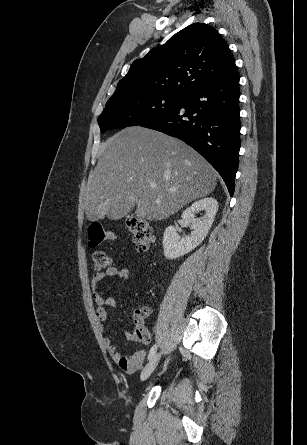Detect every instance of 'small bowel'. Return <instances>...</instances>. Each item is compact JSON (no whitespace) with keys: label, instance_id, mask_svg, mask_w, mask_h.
<instances>
[{"label":"small bowel","instance_id":"c3829d8e","mask_svg":"<svg viewBox=\"0 0 307 445\" xmlns=\"http://www.w3.org/2000/svg\"><path fill=\"white\" fill-rule=\"evenodd\" d=\"M131 275V269L129 267H117L111 266L104 272H96L92 275L91 284L94 290L93 298L96 304V316L98 320L105 322L108 319L107 309H115L117 302L113 297H104L98 291L100 283L106 278H119L121 280L129 278ZM127 339L132 340V332H125ZM105 344L111 358L119 365V367L128 373L136 372L146 358V352L139 350L131 356H125L118 351L117 345H115L110 338H105Z\"/></svg>","mask_w":307,"mask_h":445}]
</instances>
